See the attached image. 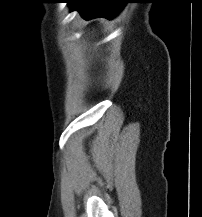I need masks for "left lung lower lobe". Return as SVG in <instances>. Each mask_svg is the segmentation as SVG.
<instances>
[{"instance_id": "1", "label": "left lung lower lobe", "mask_w": 202, "mask_h": 217, "mask_svg": "<svg viewBox=\"0 0 202 217\" xmlns=\"http://www.w3.org/2000/svg\"><path fill=\"white\" fill-rule=\"evenodd\" d=\"M71 11H79L86 20L104 17L114 18L122 9L126 0H68Z\"/></svg>"}]
</instances>
